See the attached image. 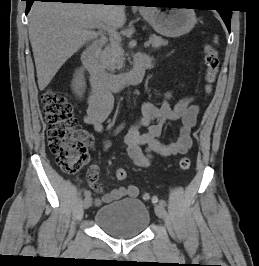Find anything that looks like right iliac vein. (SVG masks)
I'll return each mask as SVG.
<instances>
[{
  "instance_id": "obj_1",
  "label": "right iliac vein",
  "mask_w": 259,
  "mask_h": 266,
  "mask_svg": "<svg viewBox=\"0 0 259 266\" xmlns=\"http://www.w3.org/2000/svg\"><path fill=\"white\" fill-rule=\"evenodd\" d=\"M92 204V198L91 197H87L84 199L83 201V207L84 209H88Z\"/></svg>"
}]
</instances>
